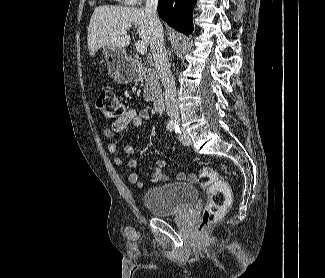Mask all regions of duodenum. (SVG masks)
Returning a JSON list of instances; mask_svg holds the SVG:
<instances>
[{"label": "duodenum", "instance_id": "1", "mask_svg": "<svg viewBox=\"0 0 325 278\" xmlns=\"http://www.w3.org/2000/svg\"><path fill=\"white\" fill-rule=\"evenodd\" d=\"M134 65L137 66L138 63L134 62ZM153 109L156 112H163L165 108V100L162 97H157L152 102Z\"/></svg>", "mask_w": 325, "mask_h": 278}]
</instances>
